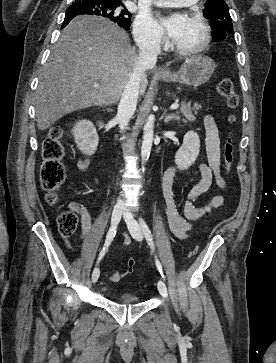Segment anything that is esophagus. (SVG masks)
Wrapping results in <instances>:
<instances>
[{
	"label": "esophagus",
	"mask_w": 276,
	"mask_h": 363,
	"mask_svg": "<svg viewBox=\"0 0 276 363\" xmlns=\"http://www.w3.org/2000/svg\"><path fill=\"white\" fill-rule=\"evenodd\" d=\"M159 72H160V73H164V72H165V70H164V69H160V70H159Z\"/></svg>",
	"instance_id": "34e87169"
}]
</instances>
